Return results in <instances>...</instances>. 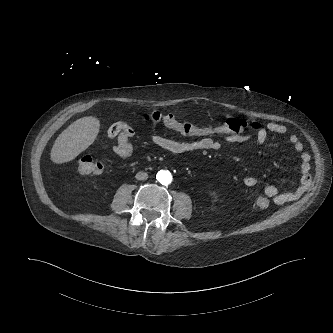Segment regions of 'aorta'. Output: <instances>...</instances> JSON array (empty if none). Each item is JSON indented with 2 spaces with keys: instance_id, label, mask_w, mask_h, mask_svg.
I'll return each instance as SVG.
<instances>
[{
  "instance_id": "1",
  "label": "aorta",
  "mask_w": 333,
  "mask_h": 333,
  "mask_svg": "<svg viewBox=\"0 0 333 333\" xmlns=\"http://www.w3.org/2000/svg\"><path fill=\"white\" fill-rule=\"evenodd\" d=\"M157 180L163 185H168L172 181V176L170 172L161 170L157 173Z\"/></svg>"
}]
</instances>
